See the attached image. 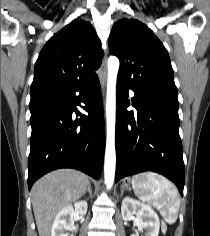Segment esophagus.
Returning <instances> with one entry per match:
<instances>
[{
	"label": "esophagus",
	"mask_w": 210,
	"mask_h": 236,
	"mask_svg": "<svg viewBox=\"0 0 210 236\" xmlns=\"http://www.w3.org/2000/svg\"><path fill=\"white\" fill-rule=\"evenodd\" d=\"M106 60H107V51H105V55H104V59H103V63H102V70H103V76H104V80L102 83L103 88L105 86V81H106Z\"/></svg>",
	"instance_id": "obj_1"
}]
</instances>
